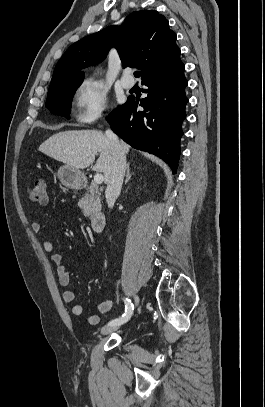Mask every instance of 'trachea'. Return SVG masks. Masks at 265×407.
I'll use <instances>...</instances> for the list:
<instances>
[{
	"mask_svg": "<svg viewBox=\"0 0 265 407\" xmlns=\"http://www.w3.org/2000/svg\"><path fill=\"white\" fill-rule=\"evenodd\" d=\"M140 75H141V72H140V71H135V72H134V76H135L136 78H139Z\"/></svg>",
	"mask_w": 265,
	"mask_h": 407,
	"instance_id": "1",
	"label": "trachea"
}]
</instances>
